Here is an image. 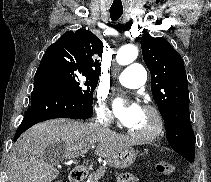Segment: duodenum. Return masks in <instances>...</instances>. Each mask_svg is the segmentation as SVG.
Wrapping results in <instances>:
<instances>
[{
  "instance_id": "1",
  "label": "duodenum",
  "mask_w": 211,
  "mask_h": 182,
  "mask_svg": "<svg viewBox=\"0 0 211 182\" xmlns=\"http://www.w3.org/2000/svg\"><path fill=\"white\" fill-rule=\"evenodd\" d=\"M84 178V168L78 167L71 171L70 182H82Z\"/></svg>"
}]
</instances>
